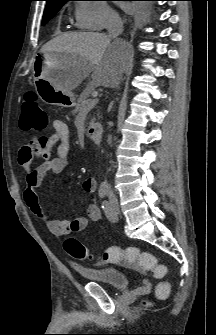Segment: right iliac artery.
<instances>
[{"label":"right iliac artery","instance_id":"obj_1","mask_svg":"<svg viewBox=\"0 0 216 335\" xmlns=\"http://www.w3.org/2000/svg\"><path fill=\"white\" fill-rule=\"evenodd\" d=\"M107 194V185L101 184L99 187V196L100 198H104Z\"/></svg>","mask_w":216,"mask_h":335}]
</instances>
